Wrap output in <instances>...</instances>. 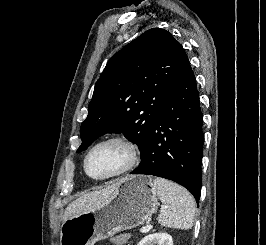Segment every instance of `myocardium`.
I'll return each instance as SVG.
<instances>
[{"mask_svg":"<svg viewBox=\"0 0 266 245\" xmlns=\"http://www.w3.org/2000/svg\"><path fill=\"white\" fill-rule=\"evenodd\" d=\"M107 142H118V143L123 144L128 150V154H129L128 163L122 171H120L114 175H111L108 177H94V176L90 175L87 171L88 158L95 148H97L101 144H104ZM139 157H140V150H139L138 146L133 141H131L130 139L123 137V136L112 135V136L104 137V138L100 139L99 141L95 142L86 151L84 158H83L82 167H83V171H84L85 175L88 178L95 180V181H101V182L110 181V180L122 178L125 175L129 174L131 171H133L134 168L136 167L137 163H138Z\"/></svg>","mask_w":266,"mask_h":245,"instance_id":"myocardium-1","label":"myocardium"}]
</instances>
